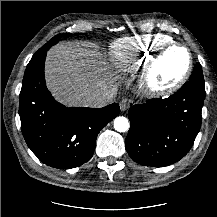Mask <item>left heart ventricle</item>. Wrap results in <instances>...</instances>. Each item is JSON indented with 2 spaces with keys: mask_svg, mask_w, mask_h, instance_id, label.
<instances>
[{
  "mask_svg": "<svg viewBox=\"0 0 217 217\" xmlns=\"http://www.w3.org/2000/svg\"><path fill=\"white\" fill-rule=\"evenodd\" d=\"M187 55L183 50L175 49L168 52L154 74V81L158 86H165L174 81L187 66Z\"/></svg>",
  "mask_w": 217,
  "mask_h": 217,
  "instance_id": "1",
  "label": "left heart ventricle"
}]
</instances>
